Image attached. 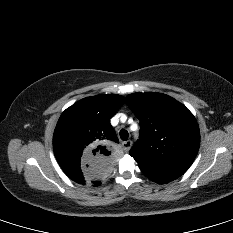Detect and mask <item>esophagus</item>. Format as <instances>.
<instances>
[{"label":"esophagus","mask_w":233,"mask_h":233,"mask_svg":"<svg viewBox=\"0 0 233 233\" xmlns=\"http://www.w3.org/2000/svg\"><path fill=\"white\" fill-rule=\"evenodd\" d=\"M131 146H132V141H130V140H127V141L122 143V147H123V150L125 152H128L130 150Z\"/></svg>","instance_id":"1"}]
</instances>
